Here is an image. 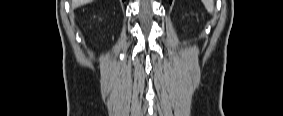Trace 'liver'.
Listing matches in <instances>:
<instances>
[{
    "mask_svg": "<svg viewBox=\"0 0 283 116\" xmlns=\"http://www.w3.org/2000/svg\"><path fill=\"white\" fill-rule=\"evenodd\" d=\"M89 2H92V0H71V6L72 8H76Z\"/></svg>",
    "mask_w": 283,
    "mask_h": 116,
    "instance_id": "6515ba94",
    "label": "liver"
}]
</instances>
